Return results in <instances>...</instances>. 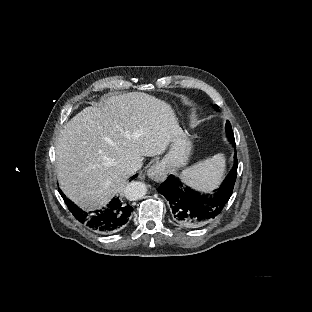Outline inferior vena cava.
<instances>
[{
  "instance_id": "602c4592",
  "label": "inferior vena cava",
  "mask_w": 312,
  "mask_h": 312,
  "mask_svg": "<svg viewBox=\"0 0 312 312\" xmlns=\"http://www.w3.org/2000/svg\"><path fill=\"white\" fill-rule=\"evenodd\" d=\"M143 160L137 159L135 160L127 169V172L129 175L134 174L137 170H139L142 167Z\"/></svg>"
}]
</instances>
